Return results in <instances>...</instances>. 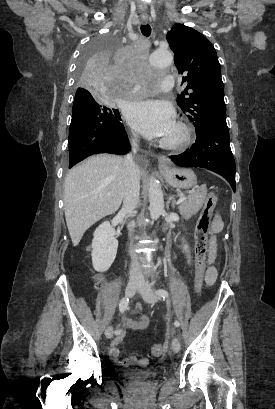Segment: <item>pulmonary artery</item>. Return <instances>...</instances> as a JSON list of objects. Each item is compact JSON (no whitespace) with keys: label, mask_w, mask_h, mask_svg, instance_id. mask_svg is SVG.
<instances>
[{"label":"pulmonary artery","mask_w":275,"mask_h":409,"mask_svg":"<svg viewBox=\"0 0 275 409\" xmlns=\"http://www.w3.org/2000/svg\"><path fill=\"white\" fill-rule=\"evenodd\" d=\"M160 86L162 88H165V91L167 93H170L172 91V88L175 87V80L173 75H167L165 79H162L160 81ZM132 93L133 94H139L142 93L141 87L140 86H133L132 87Z\"/></svg>","instance_id":"obj_1"}]
</instances>
